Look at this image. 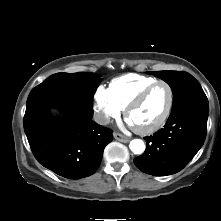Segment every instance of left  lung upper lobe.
<instances>
[{
  "label": "left lung upper lobe",
  "mask_w": 221,
  "mask_h": 221,
  "mask_svg": "<svg viewBox=\"0 0 221 221\" xmlns=\"http://www.w3.org/2000/svg\"><path fill=\"white\" fill-rule=\"evenodd\" d=\"M148 73H152L169 84L173 92V106L191 95L204 92L199 82L187 72L158 71Z\"/></svg>",
  "instance_id": "left-lung-upper-lobe-1"
}]
</instances>
